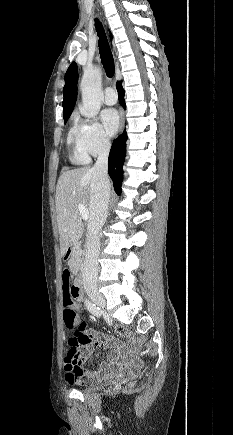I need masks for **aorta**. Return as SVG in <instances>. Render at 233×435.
<instances>
[{"instance_id":"762f6f07","label":"aorta","mask_w":233,"mask_h":435,"mask_svg":"<svg viewBox=\"0 0 233 435\" xmlns=\"http://www.w3.org/2000/svg\"><path fill=\"white\" fill-rule=\"evenodd\" d=\"M102 72L99 68H86L81 80L82 94L81 115L93 118L101 108L103 93L101 89Z\"/></svg>"}]
</instances>
